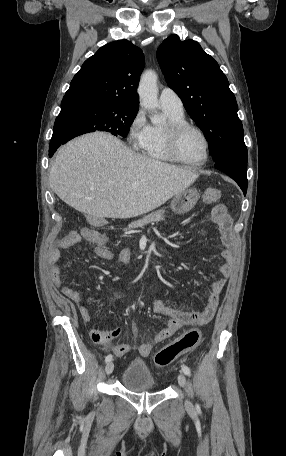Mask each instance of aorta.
Masks as SVG:
<instances>
[{
    "mask_svg": "<svg viewBox=\"0 0 286 456\" xmlns=\"http://www.w3.org/2000/svg\"><path fill=\"white\" fill-rule=\"evenodd\" d=\"M157 74L152 70L145 71L140 79L138 86V95L142 107L148 110H155L158 107V88H157ZM153 123H160L163 121L161 116L152 117Z\"/></svg>",
    "mask_w": 286,
    "mask_h": 456,
    "instance_id": "obj_1",
    "label": "aorta"
}]
</instances>
